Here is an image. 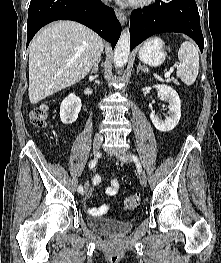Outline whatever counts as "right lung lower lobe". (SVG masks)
<instances>
[{
    "mask_svg": "<svg viewBox=\"0 0 221 263\" xmlns=\"http://www.w3.org/2000/svg\"><path fill=\"white\" fill-rule=\"evenodd\" d=\"M55 20L82 23L109 41L114 49L121 25L114 10L101 0H31L28 9L27 46L36 32Z\"/></svg>",
    "mask_w": 221,
    "mask_h": 263,
    "instance_id": "98d812e1",
    "label": "right lung lower lobe"
}]
</instances>
